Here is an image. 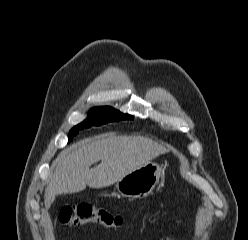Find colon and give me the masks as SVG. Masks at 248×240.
Wrapping results in <instances>:
<instances>
[{
	"label": "colon",
	"instance_id": "5ec220e1",
	"mask_svg": "<svg viewBox=\"0 0 248 240\" xmlns=\"http://www.w3.org/2000/svg\"><path fill=\"white\" fill-rule=\"evenodd\" d=\"M59 220L69 227L97 224L116 231L125 225V219L122 215L114 214L89 202H80L74 206L63 207L59 212Z\"/></svg>",
	"mask_w": 248,
	"mask_h": 240
}]
</instances>
